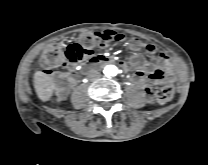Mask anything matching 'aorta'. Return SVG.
Here are the masks:
<instances>
[{
	"instance_id": "obj_1",
	"label": "aorta",
	"mask_w": 208,
	"mask_h": 165,
	"mask_svg": "<svg viewBox=\"0 0 208 165\" xmlns=\"http://www.w3.org/2000/svg\"><path fill=\"white\" fill-rule=\"evenodd\" d=\"M104 73L107 76H115L118 73V68L115 65H107L104 69Z\"/></svg>"
}]
</instances>
